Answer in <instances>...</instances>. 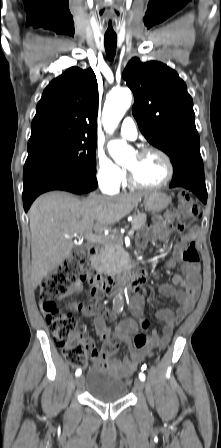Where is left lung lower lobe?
I'll list each match as a JSON object with an SVG mask.
<instances>
[{
  "mask_svg": "<svg viewBox=\"0 0 221 448\" xmlns=\"http://www.w3.org/2000/svg\"><path fill=\"white\" fill-rule=\"evenodd\" d=\"M169 187L189 189L206 204L207 190L202 158L191 159L187 163L174 168L173 178Z\"/></svg>",
  "mask_w": 221,
  "mask_h": 448,
  "instance_id": "0a47b994",
  "label": "left lung lower lobe"
}]
</instances>
